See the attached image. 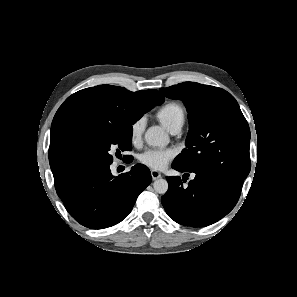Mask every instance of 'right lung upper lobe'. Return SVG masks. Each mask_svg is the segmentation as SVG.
I'll list each match as a JSON object with an SVG mask.
<instances>
[{"label": "right lung upper lobe", "mask_w": 297, "mask_h": 297, "mask_svg": "<svg viewBox=\"0 0 297 297\" xmlns=\"http://www.w3.org/2000/svg\"><path fill=\"white\" fill-rule=\"evenodd\" d=\"M164 100L155 89L131 92L112 85L86 88L69 96L57 110L51 126L49 163L56 190L79 171L70 147L80 131L104 124L135 123L142 117L143 102L161 104Z\"/></svg>", "instance_id": "cb5924a9"}]
</instances>
